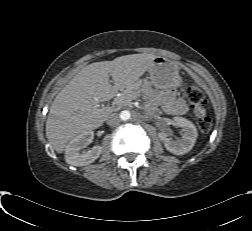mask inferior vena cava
Instances as JSON below:
<instances>
[{"mask_svg":"<svg viewBox=\"0 0 252 231\" xmlns=\"http://www.w3.org/2000/svg\"><path fill=\"white\" fill-rule=\"evenodd\" d=\"M106 123L111 127H116L120 123V117L117 113L110 114L106 119Z\"/></svg>","mask_w":252,"mask_h":231,"instance_id":"602c4592","label":"inferior vena cava"}]
</instances>
